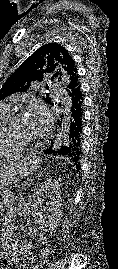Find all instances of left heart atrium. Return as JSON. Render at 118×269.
Returning a JSON list of instances; mask_svg holds the SVG:
<instances>
[{
	"instance_id": "obj_1",
	"label": "left heart atrium",
	"mask_w": 118,
	"mask_h": 269,
	"mask_svg": "<svg viewBox=\"0 0 118 269\" xmlns=\"http://www.w3.org/2000/svg\"><path fill=\"white\" fill-rule=\"evenodd\" d=\"M28 115L34 125L35 132L38 135L44 134L49 124V117L45 108L35 104L30 108Z\"/></svg>"
}]
</instances>
